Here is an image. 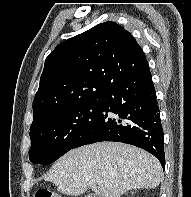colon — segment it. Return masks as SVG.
Returning <instances> with one entry per match:
<instances>
[{
  "instance_id": "colon-1",
  "label": "colon",
  "mask_w": 191,
  "mask_h": 197,
  "mask_svg": "<svg viewBox=\"0 0 191 197\" xmlns=\"http://www.w3.org/2000/svg\"><path fill=\"white\" fill-rule=\"evenodd\" d=\"M35 197H63V196L47 189H40L36 192Z\"/></svg>"
}]
</instances>
